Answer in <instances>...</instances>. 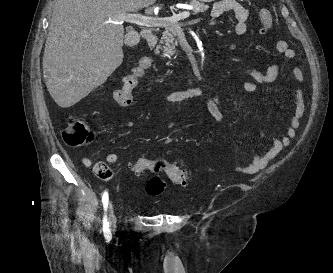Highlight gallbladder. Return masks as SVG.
Here are the masks:
<instances>
[{"label": "gallbladder", "mask_w": 333, "mask_h": 273, "mask_svg": "<svg viewBox=\"0 0 333 273\" xmlns=\"http://www.w3.org/2000/svg\"><path fill=\"white\" fill-rule=\"evenodd\" d=\"M137 43V41H135V44ZM128 45H131V44H128Z\"/></svg>", "instance_id": "obj_1"}]
</instances>
